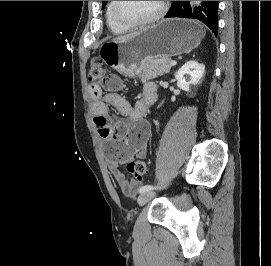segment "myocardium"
<instances>
[{
  "mask_svg": "<svg viewBox=\"0 0 271 266\" xmlns=\"http://www.w3.org/2000/svg\"><path fill=\"white\" fill-rule=\"evenodd\" d=\"M118 4L119 1H113L112 4V15L116 22H118L120 25L127 27V28H137V27H143L147 25H151L153 23L158 22L166 12V2L165 1H159V7L155 14L150 16L147 19L141 20V21H130L125 18H123L119 12H118Z\"/></svg>",
  "mask_w": 271,
  "mask_h": 266,
  "instance_id": "1",
  "label": "myocardium"
}]
</instances>
